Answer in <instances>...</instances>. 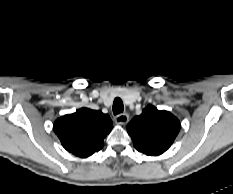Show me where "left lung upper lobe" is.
I'll return each mask as SVG.
<instances>
[{
	"mask_svg": "<svg viewBox=\"0 0 233 194\" xmlns=\"http://www.w3.org/2000/svg\"><path fill=\"white\" fill-rule=\"evenodd\" d=\"M180 129L179 120L167 111H160L152 105L143 109L128 124L134 147L148 156H158L173 143Z\"/></svg>",
	"mask_w": 233,
	"mask_h": 194,
	"instance_id": "5c2ea615",
	"label": "left lung upper lobe"
}]
</instances>
